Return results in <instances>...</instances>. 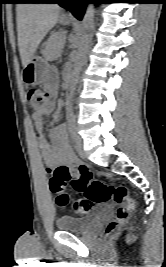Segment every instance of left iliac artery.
I'll return each instance as SVG.
<instances>
[{
    "mask_svg": "<svg viewBox=\"0 0 166 267\" xmlns=\"http://www.w3.org/2000/svg\"><path fill=\"white\" fill-rule=\"evenodd\" d=\"M68 126H69V133L71 135L72 140L74 141V137L76 134V125H75V117H74L73 113L69 114Z\"/></svg>",
    "mask_w": 166,
    "mask_h": 267,
    "instance_id": "obj_1",
    "label": "left iliac artery"
}]
</instances>
